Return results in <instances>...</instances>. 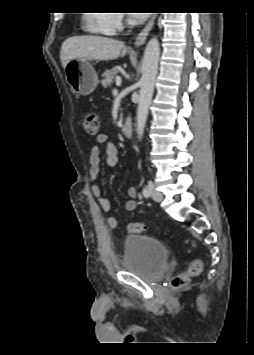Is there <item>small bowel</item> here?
<instances>
[{
  "label": "small bowel",
  "instance_id": "c3829d8e",
  "mask_svg": "<svg viewBox=\"0 0 254 355\" xmlns=\"http://www.w3.org/2000/svg\"><path fill=\"white\" fill-rule=\"evenodd\" d=\"M102 146L104 147L106 165L110 168L116 166L118 163V150L114 143L110 140L109 136L105 133H101L96 137V144L90 150L89 156V174L92 181L98 178L100 172V160L102 153ZM91 192L93 196L99 199L100 206L103 211L110 210V202L102 195L101 187L97 184L91 186ZM129 200L125 203V209L127 211H133L137 207L136 197L137 189L134 186L128 188ZM107 225L110 229H116L119 225L118 220L115 217H109L107 219Z\"/></svg>",
  "mask_w": 254,
  "mask_h": 355
}]
</instances>
